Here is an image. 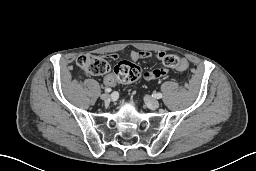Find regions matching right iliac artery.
I'll list each match as a JSON object with an SVG mask.
<instances>
[{"label": "right iliac artery", "mask_w": 256, "mask_h": 171, "mask_svg": "<svg viewBox=\"0 0 256 171\" xmlns=\"http://www.w3.org/2000/svg\"><path fill=\"white\" fill-rule=\"evenodd\" d=\"M111 91H112L111 88H106V89H105V92H106V93H110Z\"/></svg>", "instance_id": "82829eb1"}]
</instances>
